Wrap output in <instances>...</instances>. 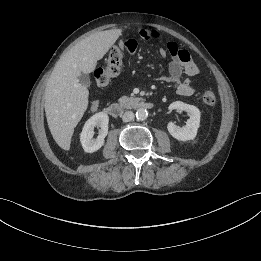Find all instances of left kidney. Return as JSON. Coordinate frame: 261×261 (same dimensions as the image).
Segmentation results:
<instances>
[{"label": "left kidney", "mask_w": 261, "mask_h": 261, "mask_svg": "<svg viewBox=\"0 0 261 261\" xmlns=\"http://www.w3.org/2000/svg\"><path fill=\"white\" fill-rule=\"evenodd\" d=\"M182 110L186 111L189 115V119L184 127L175 125L173 122H169L167 129L172 137L180 141L193 140L197 135V130L200 125V111L197 107L186 104L180 101H176L170 104L169 110Z\"/></svg>", "instance_id": "5707ae66"}]
</instances>
